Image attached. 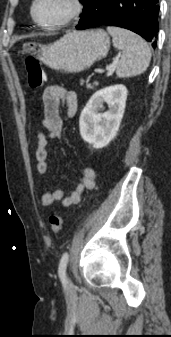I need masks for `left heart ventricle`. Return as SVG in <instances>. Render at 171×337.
Segmentation results:
<instances>
[{
	"instance_id": "1",
	"label": "left heart ventricle",
	"mask_w": 171,
	"mask_h": 337,
	"mask_svg": "<svg viewBox=\"0 0 171 337\" xmlns=\"http://www.w3.org/2000/svg\"><path fill=\"white\" fill-rule=\"evenodd\" d=\"M69 0H39L36 17L43 23L55 24L62 21L70 12Z\"/></svg>"
}]
</instances>
